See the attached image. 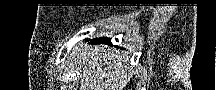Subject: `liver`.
<instances>
[{"instance_id":"1","label":"liver","mask_w":216,"mask_h":90,"mask_svg":"<svg viewBox=\"0 0 216 90\" xmlns=\"http://www.w3.org/2000/svg\"><path fill=\"white\" fill-rule=\"evenodd\" d=\"M81 50V54H75ZM130 56L119 50H109L108 46H76L71 60L80 80V90H122L125 86V70ZM119 72V78H116ZM122 72V74H120ZM120 86V88H119Z\"/></svg>"}]
</instances>
